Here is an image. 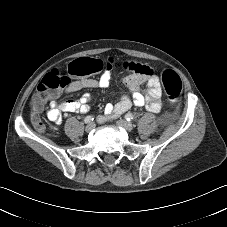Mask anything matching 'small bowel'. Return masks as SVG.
<instances>
[{
  "label": "small bowel",
  "instance_id": "c3829d8e",
  "mask_svg": "<svg viewBox=\"0 0 227 227\" xmlns=\"http://www.w3.org/2000/svg\"><path fill=\"white\" fill-rule=\"evenodd\" d=\"M124 67L128 68L129 62H124ZM112 62L106 63L105 69L102 71L98 79L83 78L72 81L65 89V92L71 93L82 89H107L111 83ZM147 81V90L141 91L139 85L142 81ZM123 84L128 88L129 95L122 96L116 104L108 103L104 108L106 117H118L126 113L132 106H144L149 112L157 113L161 109V86L158 76L153 73L147 77L139 73H131L123 78ZM93 94L85 93L79 99H66L62 101H51L50 107L46 111L47 118L55 123L60 124L62 121V113L80 112L89 113L91 110V102Z\"/></svg>",
  "mask_w": 227,
  "mask_h": 227
}]
</instances>
